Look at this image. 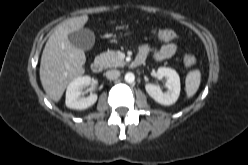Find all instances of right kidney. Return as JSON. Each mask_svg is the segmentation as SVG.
I'll return each mask as SVG.
<instances>
[{
	"label": "right kidney",
	"mask_w": 248,
	"mask_h": 165,
	"mask_svg": "<svg viewBox=\"0 0 248 165\" xmlns=\"http://www.w3.org/2000/svg\"><path fill=\"white\" fill-rule=\"evenodd\" d=\"M91 83L90 76L75 78L69 83L66 90L65 104L70 109L83 110L92 106L97 101V94H90L86 98H81L83 86Z\"/></svg>",
	"instance_id": "right-kidney-1"
}]
</instances>
